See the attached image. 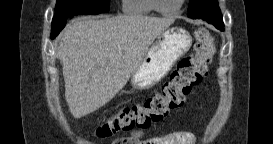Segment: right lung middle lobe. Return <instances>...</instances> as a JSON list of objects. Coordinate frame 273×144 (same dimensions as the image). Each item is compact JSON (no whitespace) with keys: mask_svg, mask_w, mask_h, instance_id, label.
<instances>
[{"mask_svg":"<svg viewBox=\"0 0 273 144\" xmlns=\"http://www.w3.org/2000/svg\"><path fill=\"white\" fill-rule=\"evenodd\" d=\"M52 20L51 38L65 27L69 17L79 14L91 15L109 11V0H57Z\"/></svg>","mask_w":273,"mask_h":144,"instance_id":"dd1d6c3e","label":"right lung middle lobe"}]
</instances>
